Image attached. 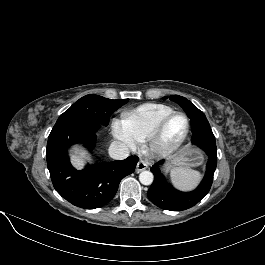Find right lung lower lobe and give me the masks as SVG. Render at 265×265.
<instances>
[{
    "label": "right lung lower lobe",
    "instance_id": "98d812e1",
    "mask_svg": "<svg viewBox=\"0 0 265 265\" xmlns=\"http://www.w3.org/2000/svg\"><path fill=\"white\" fill-rule=\"evenodd\" d=\"M98 124L72 120L55 124L48 137L47 167L55 190L73 205L85 209L102 207L117 192L120 181L134 172L137 156L122 161L99 162L76 170L70 163L68 149L82 143L92 152Z\"/></svg>",
    "mask_w": 265,
    "mask_h": 265
}]
</instances>
